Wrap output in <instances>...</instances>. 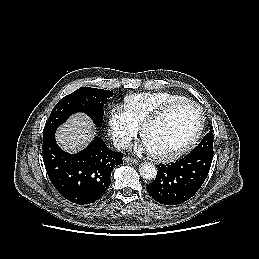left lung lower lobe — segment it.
Here are the masks:
<instances>
[{
  "label": "left lung lower lobe",
  "mask_w": 259,
  "mask_h": 259,
  "mask_svg": "<svg viewBox=\"0 0 259 259\" xmlns=\"http://www.w3.org/2000/svg\"><path fill=\"white\" fill-rule=\"evenodd\" d=\"M213 155L191 152L170 165L158 168L155 180L146 186L159 203L176 205L190 199L205 181Z\"/></svg>",
  "instance_id": "obj_1"
}]
</instances>
